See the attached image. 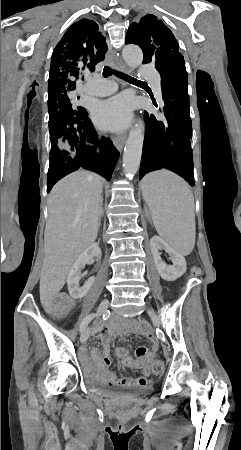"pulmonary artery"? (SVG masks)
Segmentation results:
<instances>
[{
    "mask_svg": "<svg viewBox=\"0 0 241 450\" xmlns=\"http://www.w3.org/2000/svg\"><path fill=\"white\" fill-rule=\"evenodd\" d=\"M140 79L144 80L145 84L151 85L155 95L158 96L161 94L162 84L159 82L158 71H141ZM87 85L90 87L91 92H111L113 89L109 78H88ZM101 95L104 94H100V96Z\"/></svg>",
    "mask_w": 241,
    "mask_h": 450,
    "instance_id": "e3ab8cb5",
    "label": "pulmonary artery"
}]
</instances>
